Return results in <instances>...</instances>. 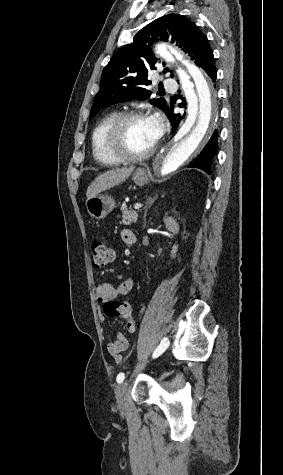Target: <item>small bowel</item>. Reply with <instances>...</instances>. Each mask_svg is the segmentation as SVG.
<instances>
[{
	"label": "small bowel",
	"instance_id": "small-bowel-1",
	"mask_svg": "<svg viewBox=\"0 0 283 475\" xmlns=\"http://www.w3.org/2000/svg\"><path fill=\"white\" fill-rule=\"evenodd\" d=\"M122 239L126 245H133L136 242V237L134 233L130 230H124L122 232ZM133 288V280L131 278L126 279L123 283L119 286L114 287L108 283H102L96 286L95 288V297L96 301L99 304L104 305V312L107 316L112 318H117V315H108L106 313L105 304L108 302V298H110L112 293H119L121 295H125L129 293ZM128 312H131L129 309ZM129 348V341L124 334H118L116 339L110 341L107 345V349L109 354L113 357L114 361L117 364H120L123 360V353L126 352Z\"/></svg>",
	"mask_w": 283,
	"mask_h": 475
}]
</instances>
